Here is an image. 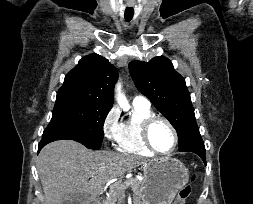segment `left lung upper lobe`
<instances>
[{"label":"left lung upper lobe","mask_w":253,"mask_h":204,"mask_svg":"<svg viewBox=\"0 0 253 204\" xmlns=\"http://www.w3.org/2000/svg\"><path fill=\"white\" fill-rule=\"evenodd\" d=\"M132 79L138 90L147 96L176 129L179 147L188 144L189 133L196 126L194 108L185 79L171 61L158 56L149 62L129 63Z\"/></svg>","instance_id":"5c2ea615"}]
</instances>
